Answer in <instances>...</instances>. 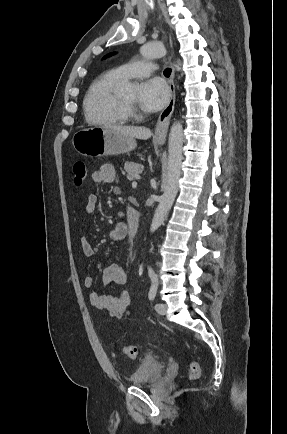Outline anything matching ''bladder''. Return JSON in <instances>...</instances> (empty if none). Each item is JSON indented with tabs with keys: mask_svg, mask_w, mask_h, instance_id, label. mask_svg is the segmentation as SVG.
I'll use <instances>...</instances> for the list:
<instances>
[{
	"mask_svg": "<svg viewBox=\"0 0 287 434\" xmlns=\"http://www.w3.org/2000/svg\"><path fill=\"white\" fill-rule=\"evenodd\" d=\"M165 372V364L155 355L147 356L129 376L130 384L142 387L156 382Z\"/></svg>",
	"mask_w": 287,
	"mask_h": 434,
	"instance_id": "obj_1",
	"label": "bladder"
}]
</instances>
